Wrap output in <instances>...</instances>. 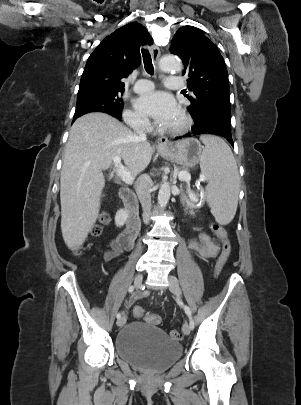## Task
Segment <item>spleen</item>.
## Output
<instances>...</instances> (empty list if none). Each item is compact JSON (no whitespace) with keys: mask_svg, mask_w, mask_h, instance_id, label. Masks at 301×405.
Instances as JSON below:
<instances>
[{"mask_svg":"<svg viewBox=\"0 0 301 405\" xmlns=\"http://www.w3.org/2000/svg\"><path fill=\"white\" fill-rule=\"evenodd\" d=\"M200 140L205 145L200 168L208 181L205 189L207 202L216 221L226 225L234 218L238 205L240 178L237 164L223 139L204 135Z\"/></svg>","mask_w":301,"mask_h":405,"instance_id":"obj_1","label":"spleen"}]
</instances>
